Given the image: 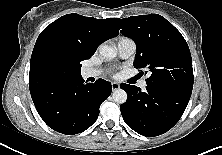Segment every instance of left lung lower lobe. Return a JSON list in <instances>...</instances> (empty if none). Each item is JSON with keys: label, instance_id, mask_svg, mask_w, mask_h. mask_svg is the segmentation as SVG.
<instances>
[{"label": "left lung lower lobe", "instance_id": "left-lung-lower-lobe-1", "mask_svg": "<svg viewBox=\"0 0 222 155\" xmlns=\"http://www.w3.org/2000/svg\"><path fill=\"white\" fill-rule=\"evenodd\" d=\"M128 94L120 110L125 123L135 132L148 137L170 130L181 118L190 97L170 90L147 85L139 87L122 83Z\"/></svg>", "mask_w": 222, "mask_h": 155}]
</instances>
